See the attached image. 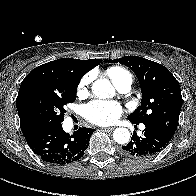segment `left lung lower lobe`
<instances>
[{
    "label": "left lung lower lobe",
    "mask_w": 196,
    "mask_h": 196,
    "mask_svg": "<svg viewBox=\"0 0 196 196\" xmlns=\"http://www.w3.org/2000/svg\"><path fill=\"white\" fill-rule=\"evenodd\" d=\"M130 120V119H129ZM133 124H137L130 120ZM143 136L133 134L131 141L122 147V153L126 156L145 158L153 156L163 150L173 135L155 123H144Z\"/></svg>",
    "instance_id": "obj_1"
}]
</instances>
